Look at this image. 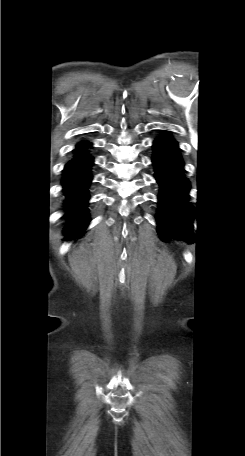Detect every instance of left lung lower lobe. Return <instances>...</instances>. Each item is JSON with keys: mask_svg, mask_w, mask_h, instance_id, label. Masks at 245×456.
<instances>
[{"mask_svg": "<svg viewBox=\"0 0 245 456\" xmlns=\"http://www.w3.org/2000/svg\"><path fill=\"white\" fill-rule=\"evenodd\" d=\"M152 162L160 185L157 210L158 234L162 240L192 237V206L187 202L190 188L183 175V160L173 137L165 132L153 143Z\"/></svg>", "mask_w": 245, "mask_h": 456, "instance_id": "1", "label": "left lung lower lobe"}]
</instances>
